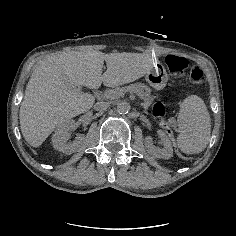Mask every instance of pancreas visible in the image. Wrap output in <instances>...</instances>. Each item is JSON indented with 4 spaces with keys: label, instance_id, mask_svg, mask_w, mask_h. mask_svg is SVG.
Here are the masks:
<instances>
[{
    "label": "pancreas",
    "instance_id": "1",
    "mask_svg": "<svg viewBox=\"0 0 236 236\" xmlns=\"http://www.w3.org/2000/svg\"><path fill=\"white\" fill-rule=\"evenodd\" d=\"M129 91L134 92L135 96L141 97L142 101L147 102L150 99V92L151 89L146 85L145 82L140 81V82H135L129 84V86L124 85L122 88H115V89H109L106 90L105 92H102L99 95V98L102 101L105 100H114L118 99L123 96L124 94L129 93Z\"/></svg>",
    "mask_w": 236,
    "mask_h": 236
}]
</instances>
